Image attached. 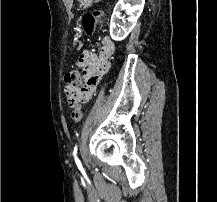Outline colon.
Here are the masks:
<instances>
[{
	"label": "colon",
	"instance_id": "colon-1",
	"mask_svg": "<svg viewBox=\"0 0 217 202\" xmlns=\"http://www.w3.org/2000/svg\"><path fill=\"white\" fill-rule=\"evenodd\" d=\"M104 15L103 11L94 9L92 11L85 12L81 18V27L85 35L90 37L94 34L96 24L98 20ZM82 74H89L86 70H74L70 71L66 76V86L64 87V93L68 99L69 106L76 99L86 100L88 96H82V91L78 90L81 87ZM85 88V87H82ZM72 120L79 121L82 118V107L79 110H73Z\"/></svg>",
	"mask_w": 217,
	"mask_h": 202
}]
</instances>
